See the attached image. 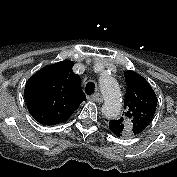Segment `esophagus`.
<instances>
[{
    "mask_svg": "<svg viewBox=\"0 0 177 177\" xmlns=\"http://www.w3.org/2000/svg\"><path fill=\"white\" fill-rule=\"evenodd\" d=\"M91 100L95 101V102H102L103 101V97L100 93H95L92 97Z\"/></svg>",
    "mask_w": 177,
    "mask_h": 177,
    "instance_id": "1",
    "label": "esophagus"
}]
</instances>
